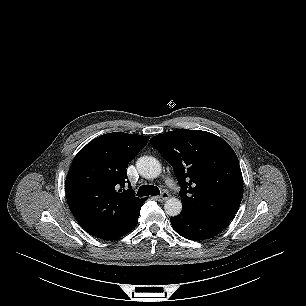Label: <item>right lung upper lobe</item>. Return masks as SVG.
<instances>
[{
	"label": "right lung upper lobe",
	"mask_w": 306,
	"mask_h": 306,
	"mask_svg": "<svg viewBox=\"0 0 306 306\" xmlns=\"http://www.w3.org/2000/svg\"><path fill=\"white\" fill-rule=\"evenodd\" d=\"M148 140V136L108 133L93 139L74 157L66 178V198L75 219L89 234L111 240L146 200L135 197L130 185L122 188L128 182V163Z\"/></svg>",
	"instance_id": "right-lung-upper-lobe-1"
}]
</instances>
